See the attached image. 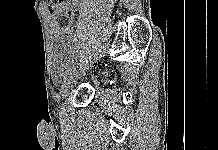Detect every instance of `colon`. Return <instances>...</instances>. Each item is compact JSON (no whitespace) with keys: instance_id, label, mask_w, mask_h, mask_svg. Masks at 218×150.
I'll return each mask as SVG.
<instances>
[{"instance_id":"5ec220e1","label":"colon","mask_w":218,"mask_h":150,"mask_svg":"<svg viewBox=\"0 0 218 150\" xmlns=\"http://www.w3.org/2000/svg\"><path fill=\"white\" fill-rule=\"evenodd\" d=\"M63 0H51L50 7L53 8L57 5H59Z\"/></svg>"}]
</instances>
